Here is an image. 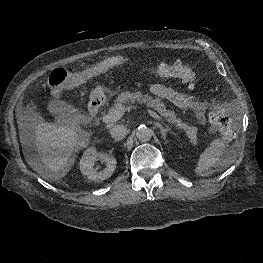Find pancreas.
Returning <instances> with one entry per match:
<instances>
[{
	"label": "pancreas",
	"mask_w": 263,
	"mask_h": 263,
	"mask_svg": "<svg viewBox=\"0 0 263 263\" xmlns=\"http://www.w3.org/2000/svg\"><path fill=\"white\" fill-rule=\"evenodd\" d=\"M135 101L139 103H146L148 107L156 110L161 116L167 119L168 122H171L175 126L184 129L190 141L193 144L196 143L197 128L183 123L182 120L176 117L174 112L167 110L164 103H162L158 98L153 99L151 96L142 95L140 92L131 93L129 91H125L118 95L113 106L110 108V112L118 108L119 105L124 106L129 102L133 103Z\"/></svg>",
	"instance_id": "1"
}]
</instances>
